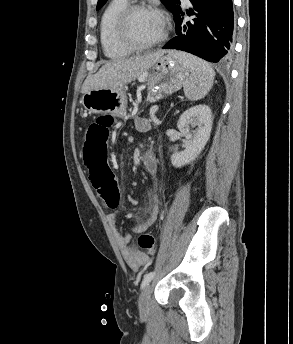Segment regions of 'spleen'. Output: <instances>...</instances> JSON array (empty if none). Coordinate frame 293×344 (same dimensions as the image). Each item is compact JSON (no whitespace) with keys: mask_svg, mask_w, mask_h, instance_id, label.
I'll return each mask as SVG.
<instances>
[{"mask_svg":"<svg viewBox=\"0 0 293 344\" xmlns=\"http://www.w3.org/2000/svg\"><path fill=\"white\" fill-rule=\"evenodd\" d=\"M191 73L184 83V93L196 101L207 95L213 85L215 72L204 60L183 52H171Z\"/></svg>","mask_w":293,"mask_h":344,"instance_id":"obj_1","label":"spleen"}]
</instances>
